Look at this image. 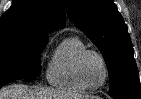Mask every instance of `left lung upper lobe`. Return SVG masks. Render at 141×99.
Here are the masks:
<instances>
[{
  "instance_id": "left-lung-upper-lobe-1",
  "label": "left lung upper lobe",
  "mask_w": 141,
  "mask_h": 99,
  "mask_svg": "<svg viewBox=\"0 0 141 99\" xmlns=\"http://www.w3.org/2000/svg\"><path fill=\"white\" fill-rule=\"evenodd\" d=\"M70 20L99 48L114 95L141 97L134 50L127 26L112 0H64Z\"/></svg>"
}]
</instances>
